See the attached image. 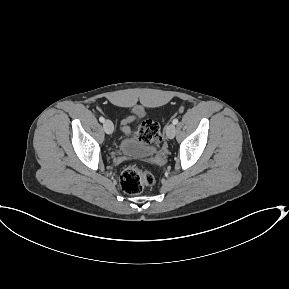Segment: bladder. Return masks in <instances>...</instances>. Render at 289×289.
Returning a JSON list of instances; mask_svg holds the SVG:
<instances>
[{
	"mask_svg": "<svg viewBox=\"0 0 289 289\" xmlns=\"http://www.w3.org/2000/svg\"><path fill=\"white\" fill-rule=\"evenodd\" d=\"M120 148L123 153L135 157H148L155 152L153 147L147 146L132 137L124 140Z\"/></svg>",
	"mask_w": 289,
	"mask_h": 289,
	"instance_id": "1",
	"label": "bladder"
}]
</instances>
